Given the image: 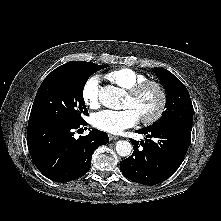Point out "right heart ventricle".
<instances>
[{
    "label": "right heart ventricle",
    "mask_w": 221,
    "mask_h": 221,
    "mask_svg": "<svg viewBox=\"0 0 221 221\" xmlns=\"http://www.w3.org/2000/svg\"><path fill=\"white\" fill-rule=\"evenodd\" d=\"M105 78L125 90L148 79L145 74L127 67L112 70L105 75Z\"/></svg>",
    "instance_id": "obj_1"
}]
</instances>
